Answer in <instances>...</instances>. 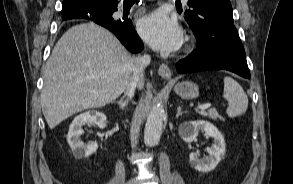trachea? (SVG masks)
Masks as SVG:
<instances>
[{
	"label": "trachea",
	"mask_w": 293,
	"mask_h": 184,
	"mask_svg": "<svg viewBox=\"0 0 293 184\" xmlns=\"http://www.w3.org/2000/svg\"><path fill=\"white\" fill-rule=\"evenodd\" d=\"M137 0H124V4L135 3Z\"/></svg>",
	"instance_id": "3493384b"
}]
</instances>
